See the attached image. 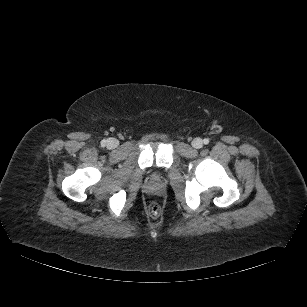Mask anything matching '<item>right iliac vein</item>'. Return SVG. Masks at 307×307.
I'll return each mask as SVG.
<instances>
[{
	"label": "right iliac vein",
	"instance_id": "63e3f726",
	"mask_svg": "<svg viewBox=\"0 0 307 307\" xmlns=\"http://www.w3.org/2000/svg\"><path fill=\"white\" fill-rule=\"evenodd\" d=\"M119 145V141L116 138H109L107 141V146L110 149H115Z\"/></svg>",
	"mask_w": 307,
	"mask_h": 307
}]
</instances>
